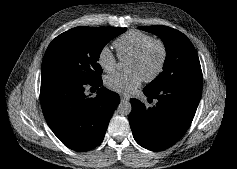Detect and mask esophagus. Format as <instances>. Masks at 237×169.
Returning a JSON list of instances; mask_svg holds the SVG:
<instances>
[{"mask_svg": "<svg viewBox=\"0 0 237 169\" xmlns=\"http://www.w3.org/2000/svg\"><path fill=\"white\" fill-rule=\"evenodd\" d=\"M120 99L122 102H129V100H130L129 97H125V96H121Z\"/></svg>", "mask_w": 237, "mask_h": 169, "instance_id": "34e87169", "label": "esophagus"}]
</instances>
